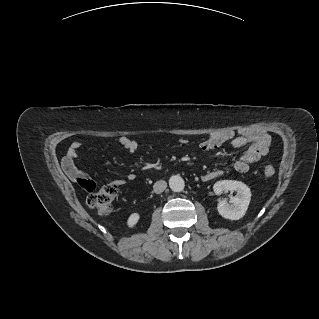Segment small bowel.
Returning <instances> with one entry per match:
<instances>
[{
    "label": "small bowel",
    "mask_w": 319,
    "mask_h": 319,
    "mask_svg": "<svg viewBox=\"0 0 319 319\" xmlns=\"http://www.w3.org/2000/svg\"><path fill=\"white\" fill-rule=\"evenodd\" d=\"M118 144L127 150L128 152H135L138 149V144L127 136L121 135L117 139ZM184 143L185 141H181ZM225 143H230L234 148H243L248 145L243 155L234 162V169L239 173H246L251 165L257 163L263 158L268 151V145L270 143V137L263 131H253L247 133H236L233 131H226L220 133H214L210 135L206 140L200 143L199 147L204 152H210ZM80 148V143L74 142L70 149V157L74 159L76 153ZM224 174L223 170L214 169L210 170L202 175L203 181H212ZM71 177L76 179H88V176L80 171H72ZM133 174L127 176L128 180L133 179ZM127 180L123 178H117L111 181V184L116 187H122L126 185Z\"/></svg>",
    "instance_id": "c3829d8e"
}]
</instances>
